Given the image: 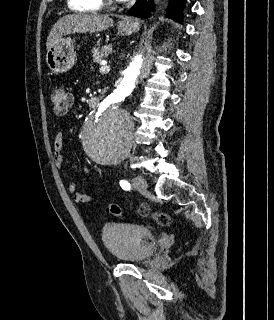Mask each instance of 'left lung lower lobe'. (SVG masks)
<instances>
[{
    "instance_id": "left-lung-lower-lobe-1",
    "label": "left lung lower lobe",
    "mask_w": 274,
    "mask_h": 320,
    "mask_svg": "<svg viewBox=\"0 0 274 320\" xmlns=\"http://www.w3.org/2000/svg\"><path fill=\"white\" fill-rule=\"evenodd\" d=\"M186 0H169L166 15L180 23H182L183 12ZM155 11V5L151 0H137L136 3L127 11L128 15L137 17H150L151 12Z\"/></svg>"
}]
</instances>
